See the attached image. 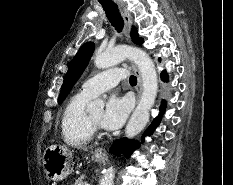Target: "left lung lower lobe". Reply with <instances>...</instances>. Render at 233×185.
<instances>
[{"instance_id":"obj_1","label":"left lung lower lobe","mask_w":233,"mask_h":185,"mask_svg":"<svg viewBox=\"0 0 233 185\" xmlns=\"http://www.w3.org/2000/svg\"><path fill=\"white\" fill-rule=\"evenodd\" d=\"M160 60V59H159ZM161 78L167 82V74L165 71L161 73ZM164 105L162 106L161 110H163ZM161 116L159 115L157 118L154 119L153 123L151 126L147 129L145 132V135H149L152 130H154L159 122H160ZM137 147V144L133 140H127L126 138H122L121 140H116L114 144L111 146L110 151L115 153V154H124L126 157H130L132 151Z\"/></svg>"}]
</instances>
